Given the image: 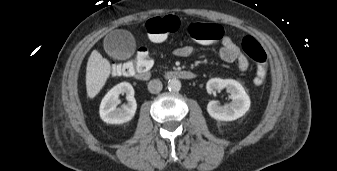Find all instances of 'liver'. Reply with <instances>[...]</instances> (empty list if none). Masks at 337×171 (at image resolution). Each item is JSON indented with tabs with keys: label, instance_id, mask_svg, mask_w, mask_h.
<instances>
[{
	"label": "liver",
	"instance_id": "liver-1",
	"mask_svg": "<svg viewBox=\"0 0 337 171\" xmlns=\"http://www.w3.org/2000/svg\"><path fill=\"white\" fill-rule=\"evenodd\" d=\"M110 73V62L97 50H93L86 68V90L89 98H94L100 92Z\"/></svg>",
	"mask_w": 337,
	"mask_h": 171
}]
</instances>
